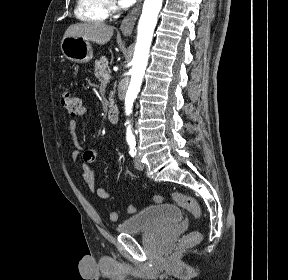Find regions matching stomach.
<instances>
[{"mask_svg": "<svg viewBox=\"0 0 288 280\" xmlns=\"http://www.w3.org/2000/svg\"><path fill=\"white\" fill-rule=\"evenodd\" d=\"M61 50L67 59L75 63H87L93 57L90 42L80 37H64L61 41Z\"/></svg>", "mask_w": 288, "mask_h": 280, "instance_id": "1", "label": "stomach"}]
</instances>
